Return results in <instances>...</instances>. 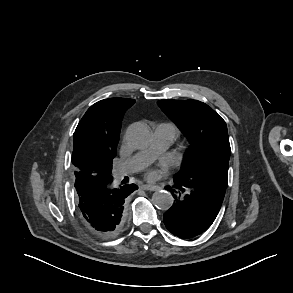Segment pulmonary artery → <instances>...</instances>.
<instances>
[{"instance_id":"pulmonary-artery-1","label":"pulmonary artery","mask_w":293,"mask_h":293,"mask_svg":"<svg viewBox=\"0 0 293 293\" xmlns=\"http://www.w3.org/2000/svg\"><path fill=\"white\" fill-rule=\"evenodd\" d=\"M176 137V129L168 123L158 124L154 129V139L150 148L129 159L116 173L118 179L147 165L159 152L170 146Z\"/></svg>"}]
</instances>
